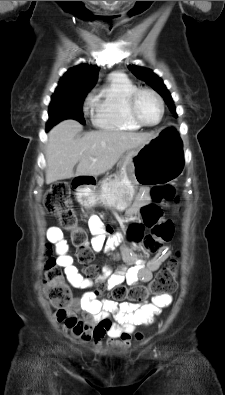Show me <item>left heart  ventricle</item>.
Masks as SVG:
<instances>
[{
	"label": "left heart ventricle",
	"instance_id": "b2bd125f",
	"mask_svg": "<svg viewBox=\"0 0 225 395\" xmlns=\"http://www.w3.org/2000/svg\"><path fill=\"white\" fill-rule=\"evenodd\" d=\"M137 112L144 122L153 124L159 119L160 107L153 96L142 94L137 102Z\"/></svg>",
	"mask_w": 225,
	"mask_h": 395
}]
</instances>
